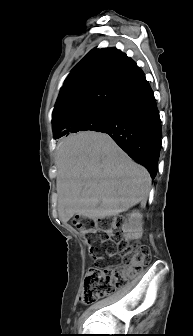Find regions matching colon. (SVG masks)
<instances>
[{
	"label": "colon",
	"instance_id": "1",
	"mask_svg": "<svg viewBox=\"0 0 193 336\" xmlns=\"http://www.w3.org/2000/svg\"><path fill=\"white\" fill-rule=\"evenodd\" d=\"M74 225L88 239L95 258L120 255L123 259L122 265L93 267L87 271L80 296L83 304H91L112 293L116 288L124 287L128 280L137 276L150 261L149 247L139 245L132 248L121 239V218H79L74 221Z\"/></svg>",
	"mask_w": 193,
	"mask_h": 336
}]
</instances>
